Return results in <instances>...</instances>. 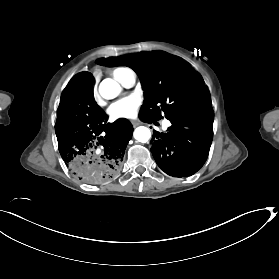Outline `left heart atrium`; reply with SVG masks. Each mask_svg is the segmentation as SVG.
<instances>
[{
  "label": "left heart atrium",
  "instance_id": "left-heart-atrium-1",
  "mask_svg": "<svg viewBox=\"0 0 279 279\" xmlns=\"http://www.w3.org/2000/svg\"><path fill=\"white\" fill-rule=\"evenodd\" d=\"M140 104L139 98L127 96L113 103L108 109V115L112 120L134 118L138 113Z\"/></svg>",
  "mask_w": 279,
  "mask_h": 279
}]
</instances>
